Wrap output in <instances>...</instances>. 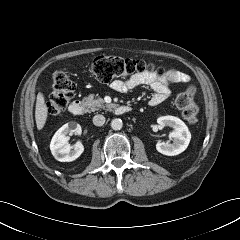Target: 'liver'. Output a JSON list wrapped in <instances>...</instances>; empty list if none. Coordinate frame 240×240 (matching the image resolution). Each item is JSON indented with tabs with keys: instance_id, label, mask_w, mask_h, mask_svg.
<instances>
[{
	"instance_id": "6515ba94",
	"label": "liver",
	"mask_w": 240,
	"mask_h": 240,
	"mask_svg": "<svg viewBox=\"0 0 240 240\" xmlns=\"http://www.w3.org/2000/svg\"><path fill=\"white\" fill-rule=\"evenodd\" d=\"M47 116H48V108L45 105L44 95L42 93H39L37 96L36 108H35V120H36V125L38 130H41L44 127L47 120Z\"/></svg>"
}]
</instances>
